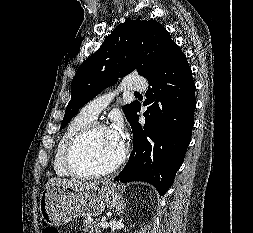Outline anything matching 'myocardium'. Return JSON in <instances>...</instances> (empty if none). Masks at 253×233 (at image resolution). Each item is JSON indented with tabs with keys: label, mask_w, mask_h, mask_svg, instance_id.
<instances>
[{
	"label": "myocardium",
	"mask_w": 253,
	"mask_h": 233,
	"mask_svg": "<svg viewBox=\"0 0 253 233\" xmlns=\"http://www.w3.org/2000/svg\"><path fill=\"white\" fill-rule=\"evenodd\" d=\"M108 129V127L100 122H92L85 127L69 144L65 155V165L73 176L79 178H94L100 176H106L115 172L119 167L123 165L128 155V147L125 142H122V149L119 157L114 163L104 169L84 171L80 169L76 164V155L82 145L98 130Z\"/></svg>",
	"instance_id": "obj_1"
}]
</instances>
